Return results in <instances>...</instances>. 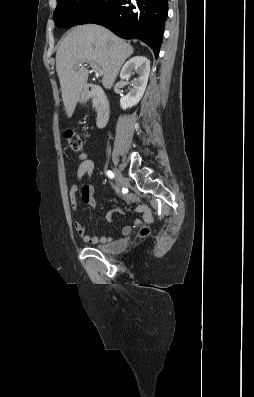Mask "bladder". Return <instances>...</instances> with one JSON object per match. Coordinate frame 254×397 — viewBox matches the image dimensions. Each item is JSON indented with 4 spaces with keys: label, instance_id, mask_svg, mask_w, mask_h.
Returning a JSON list of instances; mask_svg holds the SVG:
<instances>
[{
    "label": "bladder",
    "instance_id": "obj_1",
    "mask_svg": "<svg viewBox=\"0 0 254 397\" xmlns=\"http://www.w3.org/2000/svg\"><path fill=\"white\" fill-rule=\"evenodd\" d=\"M126 247V243L122 240L114 241L106 245H100L97 249L103 253H118Z\"/></svg>",
    "mask_w": 254,
    "mask_h": 397
}]
</instances>
